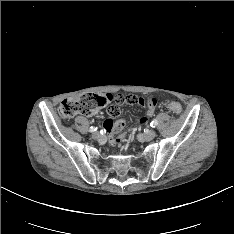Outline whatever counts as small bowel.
Masks as SVG:
<instances>
[{
    "instance_id": "obj_1",
    "label": "small bowel",
    "mask_w": 234,
    "mask_h": 234,
    "mask_svg": "<svg viewBox=\"0 0 234 234\" xmlns=\"http://www.w3.org/2000/svg\"><path fill=\"white\" fill-rule=\"evenodd\" d=\"M104 103L109 104L107 113L112 117V119L116 120L115 122L111 119H108L104 123V128L110 135V143L115 144L120 141V133L125 127L126 121L123 118H120V108L124 106V104H137L141 106H148L146 117H143L140 121L145 123L148 117L152 116L154 113V107L157 106V100L155 97L135 95L134 93H124L118 94L114 97V102L111 103L110 97L104 98ZM118 119V120H117Z\"/></svg>"
}]
</instances>
